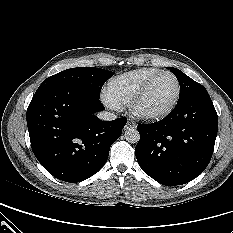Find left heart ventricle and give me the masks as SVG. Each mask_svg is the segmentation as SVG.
Masks as SVG:
<instances>
[{"instance_id": "b2bd125f", "label": "left heart ventricle", "mask_w": 233, "mask_h": 233, "mask_svg": "<svg viewBox=\"0 0 233 233\" xmlns=\"http://www.w3.org/2000/svg\"><path fill=\"white\" fill-rule=\"evenodd\" d=\"M176 83L172 76L161 75L150 85L138 108L145 112H155L165 108L174 98Z\"/></svg>"}]
</instances>
